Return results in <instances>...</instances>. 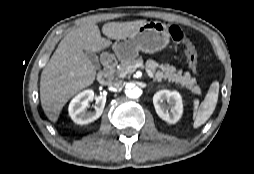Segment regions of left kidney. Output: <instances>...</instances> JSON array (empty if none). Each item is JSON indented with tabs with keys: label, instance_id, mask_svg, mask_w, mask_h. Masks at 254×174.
<instances>
[{
	"label": "left kidney",
	"instance_id": "obj_1",
	"mask_svg": "<svg viewBox=\"0 0 254 174\" xmlns=\"http://www.w3.org/2000/svg\"><path fill=\"white\" fill-rule=\"evenodd\" d=\"M153 104L158 116L170 124H175L182 116V98L177 91L160 90L156 92L153 96Z\"/></svg>",
	"mask_w": 254,
	"mask_h": 174
}]
</instances>
